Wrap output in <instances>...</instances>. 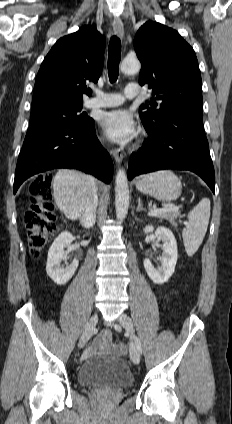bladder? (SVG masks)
<instances>
[{"instance_id":"1","label":"bladder","mask_w":232,"mask_h":424,"mask_svg":"<svg viewBox=\"0 0 232 424\" xmlns=\"http://www.w3.org/2000/svg\"><path fill=\"white\" fill-rule=\"evenodd\" d=\"M77 379L84 387L108 385L127 388L133 383V375L122 358L97 356L85 361L77 372Z\"/></svg>"}]
</instances>
